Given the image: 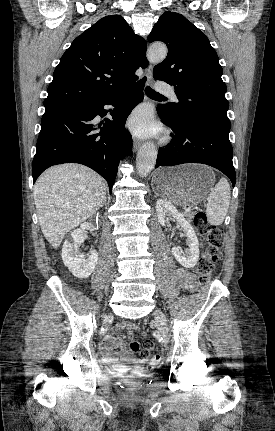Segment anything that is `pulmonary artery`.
Listing matches in <instances>:
<instances>
[{
  "label": "pulmonary artery",
  "mask_w": 275,
  "mask_h": 431,
  "mask_svg": "<svg viewBox=\"0 0 275 431\" xmlns=\"http://www.w3.org/2000/svg\"><path fill=\"white\" fill-rule=\"evenodd\" d=\"M156 89H157L158 92L170 95L174 100H176V96L174 94V91H173V89L169 85H167V84H165L163 82H159L156 85Z\"/></svg>",
  "instance_id": "pulmonary-artery-1"
}]
</instances>
